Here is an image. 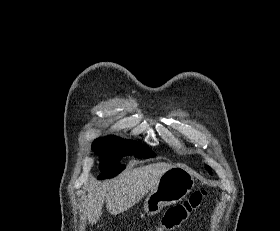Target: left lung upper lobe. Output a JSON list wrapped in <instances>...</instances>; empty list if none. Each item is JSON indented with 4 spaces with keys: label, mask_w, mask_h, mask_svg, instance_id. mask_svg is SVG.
<instances>
[{
    "label": "left lung upper lobe",
    "mask_w": 280,
    "mask_h": 231,
    "mask_svg": "<svg viewBox=\"0 0 280 231\" xmlns=\"http://www.w3.org/2000/svg\"><path fill=\"white\" fill-rule=\"evenodd\" d=\"M207 170L211 173V168L210 167H207Z\"/></svg>",
    "instance_id": "1"
}]
</instances>
